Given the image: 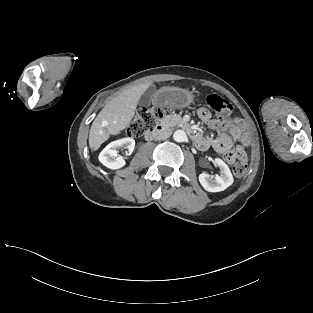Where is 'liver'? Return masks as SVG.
Returning <instances> with one entry per match:
<instances>
[{
	"instance_id": "6515ba94",
	"label": "liver",
	"mask_w": 313,
	"mask_h": 313,
	"mask_svg": "<svg viewBox=\"0 0 313 313\" xmlns=\"http://www.w3.org/2000/svg\"><path fill=\"white\" fill-rule=\"evenodd\" d=\"M151 84L129 88L110 100L93 121L89 133V146L96 151L111 136L120 134L135 115L138 101Z\"/></svg>"
}]
</instances>
